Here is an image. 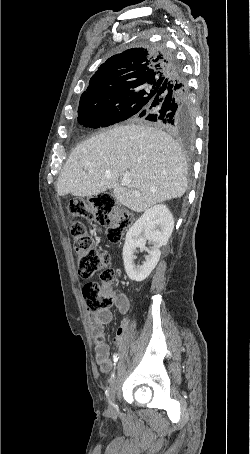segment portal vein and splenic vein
<instances>
[{
  "instance_id": "18ae733b",
  "label": "portal vein and splenic vein",
  "mask_w": 250,
  "mask_h": 454,
  "mask_svg": "<svg viewBox=\"0 0 250 454\" xmlns=\"http://www.w3.org/2000/svg\"><path fill=\"white\" fill-rule=\"evenodd\" d=\"M131 182L130 175H125L121 180V186H127Z\"/></svg>"
}]
</instances>
